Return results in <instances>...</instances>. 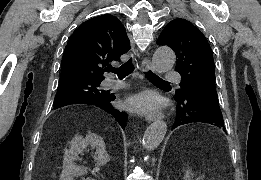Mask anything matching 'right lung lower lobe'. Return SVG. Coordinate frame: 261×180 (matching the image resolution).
Returning <instances> with one entry per match:
<instances>
[{
    "instance_id": "1",
    "label": "right lung lower lobe",
    "mask_w": 261,
    "mask_h": 180,
    "mask_svg": "<svg viewBox=\"0 0 261 180\" xmlns=\"http://www.w3.org/2000/svg\"><path fill=\"white\" fill-rule=\"evenodd\" d=\"M113 100H115V96L113 94H110L109 92H105L101 94L99 97L95 98L79 96L64 101L58 107H55V109L73 103L93 104L109 112L118 121L120 126L122 128H125L128 116L126 113L120 112L112 106L111 101Z\"/></svg>"
}]
</instances>
